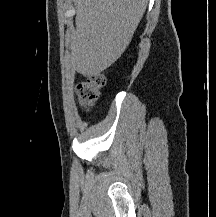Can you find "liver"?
Listing matches in <instances>:
<instances>
[{
  "label": "liver",
  "mask_w": 216,
  "mask_h": 217,
  "mask_svg": "<svg viewBox=\"0 0 216 217\" xmlns=\"http://www.w3.org/2000/svg\"><path fill=\"white\" fill-rule=\"evenodd\" d=\"M148 0H75L73 68L97 75L123 54L146 10Z\"/></svg>",
  "instance_id": "6515ba94"
}]
</instances>
